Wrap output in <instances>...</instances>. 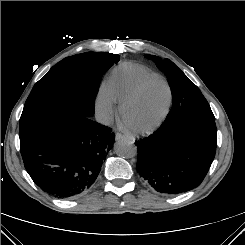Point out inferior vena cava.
Returning a JSON list of instances; mask_svg holds the SVG:
<instances>
[{"label":"inferior vena cava","instance_id":"1","mask_svg":"<svg viewBox=\"0 0 245 245\" xmlns=\"http://www.w3.org/2000/svg\"><path fill=\"white\" fill-rule=\"evenodd\" d=\"M95 118L98 123L103 125H109L111 123V117L106 113H97Z\"/></svg>","mask_w":245,"mask_h":245}]
</instances>
